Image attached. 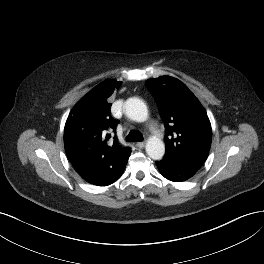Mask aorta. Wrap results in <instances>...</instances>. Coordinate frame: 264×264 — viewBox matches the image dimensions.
Returning a JSON list of instances; mask_svg holds the SVG:
<instances>
[{
    "mask_svg": "<svg viewBox=\"0 0 264 264\" xmlns=\"http://www.w3.org/2000/svg\"><path fill=\"white\" fill-rule=\"evenodd\" d=\"M126 115L136 122H144L148 117V109L139 98L132 97L124 104ZM146 152L154 160H160L165 154V145L160 138L151 137L146 143Z\"/></svg>",
    "mask_w": 264,
    "mask_h": 264,
    "instance_id": "aorta-1",
    "label": "aorta"
}]
</instances>
